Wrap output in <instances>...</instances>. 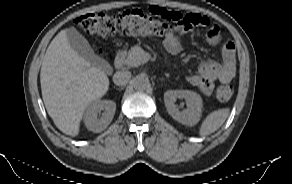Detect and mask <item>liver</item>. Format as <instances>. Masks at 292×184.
Returning a JSON list of instances; mask_svg holds the SVG:
<instances>
[{
  "mask_svg": "<svg viewBox=\"0 0 292 184\" xmlns=\"http://www.w3.org/2000/svg\"><path fill=\"white\" fill-rule=\"evenodd\" d=\"M40 83L49 116L70 136L78 135L87 106L109 88L107 75L71 48L66 30L60 31L47 48Z\"/></svg>",
  "mask_w": 292,
  "mask_h": 184,
  "instance_id": "liver-1",
  "label": "liver"
}]
</instances>
